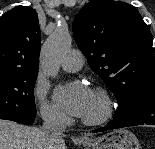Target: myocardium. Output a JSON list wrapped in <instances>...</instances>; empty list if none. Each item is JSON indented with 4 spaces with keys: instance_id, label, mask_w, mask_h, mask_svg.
Masks as SVG:
<instances>
[{
    "instance_id": "obj_1",
    "label": "myocardium",
    "mask_w": 155,
    "mask_h": 149,
    "mask_svg": "<svg viewBox=\"0 0 155 149\" xmlns=\"http://www.w3.org/2000/svg\"><path fill=\"white\" fill-rule=\"evenodd\" d=\"M94 93L101 103V112L93 118H81V121L86 125H99L107 121L113 114L114 103L109 92L102 88L96 87Z\"/></svg>"
}]
</instances>
